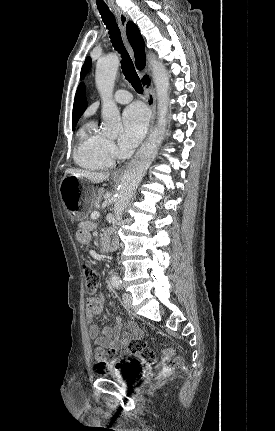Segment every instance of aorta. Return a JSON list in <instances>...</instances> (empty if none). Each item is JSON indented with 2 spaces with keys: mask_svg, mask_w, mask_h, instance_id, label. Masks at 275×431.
<instances>
[{
  "mask_svg": "<svg viewBox=\"0 0 275 431\" xmlns=\"http://www.w3.org/2000/svg\"><path fill=\"white\" fill-rule=\"evenodd\" d=\"M149 60L152 66L153 79L157 94V124L123 174L117 196L114 201V214L116 217L122 215L133 197L138 184L155 159L166 131V116L168 113L169 101L168 91L170 85L169 76L162 62L158 61L154 56H150ZM118 66L119 58L116 54H109L100 59L96 66V86L103 101V133L108 137H115L122 127L118 107L112 100ZM111 280L116 281L118 280V277L112 276Z\"/></svg>",
  "mask_w": 275,
  "mask_h": 431,
  "instance_id": "aorta-1",
  "label": "aorta"
}]
</instances>
